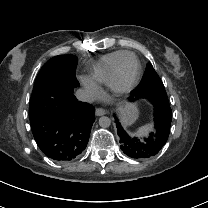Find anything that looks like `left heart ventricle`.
<instances>
[{
	"instance_id": "1",
	"label": "left heart ventricle",
	"mask_w": 208,
	"mask_h": 208,
	"mask_svg": "<svg viewBox=\"0 0 208 208\" xmlns=\"http://www.w3.org/2000/svg\"><path fill=\"white\" fill-rule=\"evenodd\" d=\"M136 70L137 65L135 63H132L130 66H128L123 73L124 80H130L134 76Z\"/></svg>"
}]
</instances>
